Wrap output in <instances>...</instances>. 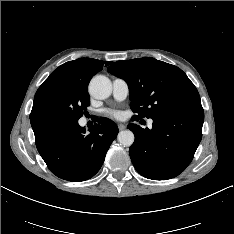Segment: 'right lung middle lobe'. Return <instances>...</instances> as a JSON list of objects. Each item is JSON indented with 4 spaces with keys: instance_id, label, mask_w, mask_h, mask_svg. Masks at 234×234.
<instances>
[{
    "instance_id": "dd1d6c3e",
    "label": "right lung middle lobe",
    "mask_w": 234,
    "mask_h": 234,
    "mask_svg": "<svg viewBox=\"0 0 234 234\" xmlns=\"http://www.w3.org/2000/svg\"><path fill=\"white\" fill-rule=\"evenodd\" d=\"M89 99L86 87L57 82L35 96L30 117L59 115L79 120L86 114Z\"/></svg>"
}]
</instances>
